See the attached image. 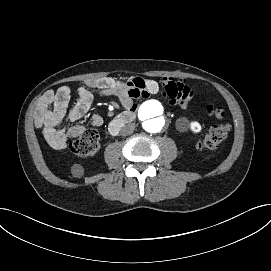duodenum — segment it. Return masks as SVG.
<instances>
[{"mask_svg": "<svg viewBox=\"0 0 271 271\" xmlns=\"http://www.w3.org/2000/svg\"><path fill=\"white\" fill-rule=\"evenodd\" d=\"M136 113L132 110H127L116 116L109 124V131L112 135H117L120 129L127 123L134 121Z\"/></svg>", "mask_w": 271, "mask_h": 271, "instance_id": "410a0bca", "label": "duodenum"}]
</instances>
